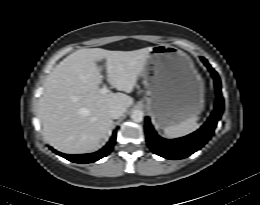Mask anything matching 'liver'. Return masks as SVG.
Segmentation results:
<instances>
[{
    "label": "liver",
    "mask_w": 260,
    "mask_h": 205,
    "mask_svg": "<svg viewBox=\"0 0 260 205\" xmlns=\"http://www.w3.org/2000/svg\"><path fill=\"white\" fill-rule=\"evenodd\" d=\"M151 51L152 47L134 51L79 49L63 59L46 78L39 100L45 140L68 154L96 151L113 126L109 109L116 105L127 109L133 104V98L124 93H100L103 76L98 62L106 61L112 87L130 92Z\"/></svg>",
    "instance_id": "1"
}]
</instances>
